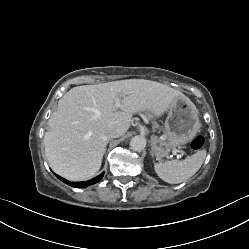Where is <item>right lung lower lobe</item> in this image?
<instances>
[{
  "mask_svg": "<svg viewBox=\"0 0 249 249\" xmlns=\"http://www.w3.org/2000/svg\"><path fill=\"white\" fill-rule=\"evenodd\" d=\"M103 175H104V173L100 174L99 176H97V177H95V178H93V179H91L89 181L77 182V183H75V182H69V181L65 180L64 178H62V177H60L58 175H56V176L61 181H63L64 183H66V184H68V185H70L72 187H78V188L82 187V188H84L86 186H89V185H92V184H95V183L99 182L102 179Z\"/></svg>",
  "mask_w": 249,
  "mask_h": 249,
  "instance_id": "98d812e1",
  "label": "right lung lower lobe"
}]
</instances>
